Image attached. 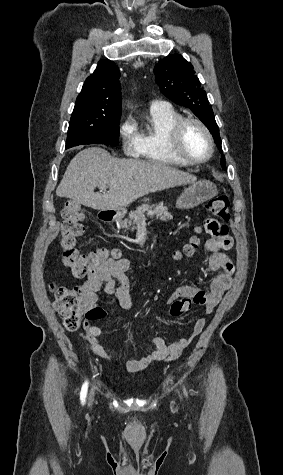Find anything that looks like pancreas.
Wrapping results in <instances>:
<instances>
[{"mask_svg":"<svg viewBox=\"0 0 283 475\" xmlns=\"http://www.w3.org/2000/svg\"><path fill=\"white\" fill-rule=\"evenodd\" d=\"M145 212H151L149 216H156V218H160V220H172L173 216H171L170 212H168L167 206H164V202H160V204H156V206H139L137 210L134 212H130L129 218L126 220H121L119 222L120 228H127L130 230V226H132L131 230H136L135 224H140V222H145L146 218L144 216Z\"/></svg>","mask_w":283,"mask_h":475,"instance_id":"1","label":"pancreas"}]
</instances>
